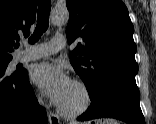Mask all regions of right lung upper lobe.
<instances>
[{
	"instance_id": "right-lung-upper-lobe-1",
	"label": "right lung upper lobe",
	"mask_w": 156,
	"mask_h": 124,
	"mask_svg": "<svg viewBox=\"0 0 156 124\" xmlns=\"http://www.w3.org/2000/svg\"><path fill=\"white\" fill-rule=\"evenodd\" d=\"M39 0H0V60L12 59L19 34L28 36Z\"/></svg>"
}]
</instances>
